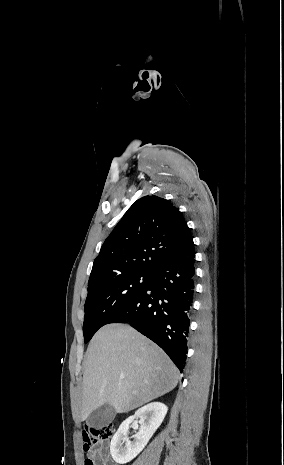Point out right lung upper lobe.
Returning a JSON list of instances; mask_svg holds the SVG:
<instances>
[{
    "mask_svg": "<svg viewBox=\"0 0 284 465\" xmlns=\"http://www.w3.org/2000/svg\"><path fill=\"white\" fill-rule=\"evenodd\" d=\"M191 242L190 229L171 202L144 196L127 210L103 243L88 288L127 274L152 275Z\"/></svg>",
    "mask_w": 284,
    "mask_h": 465,
    "instance_id": "obj_1",
    "label": "right lung upper lobe"
}]
</instances>
